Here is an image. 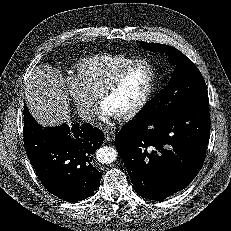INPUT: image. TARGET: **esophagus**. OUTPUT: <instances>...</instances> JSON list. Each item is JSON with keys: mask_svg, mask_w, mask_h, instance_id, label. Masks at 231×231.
Returning a JSON list of instances; mask_svg holds the SVG:
<instances>
[{"mask_svg": "<svg viewBox=\"0 0 231 231\" xmlns=\"http://www.w3.org/2000/svg\"><path fill=\"white\" fill-rule=\"evenodd\" d=\"M104 134H105V140L108 142H112L115 138V133L113 131L106 130Z\"/></svg>", "mask_w": 231, "mask_h": 231, "instance_id": "esophagus-1", "label": "esophagus"}]
</instances>
